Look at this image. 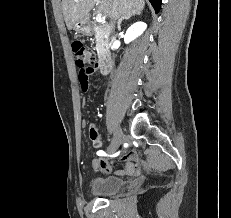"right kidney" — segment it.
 Returning <instances> with one entry per match:
<instances>
[{
    "instance_id": "right-kidney-1",
    "label": "right kidney",
    "mask_w": 231,
    "mask_h": 218,
    "mask_svg": "<svg viewBox=\"0 0 231 218\" xmlns=\"http://www.w3.org/2000/svg\"><path fill=\"white\" fill-rule=\"evenodd\" d=\"M146 23L139 21L131 25L128 30L126 31L124 41L126 44L134 40L136 37L141 35L143 31L146 29Z\"/></svg>"
}]
</instances>
